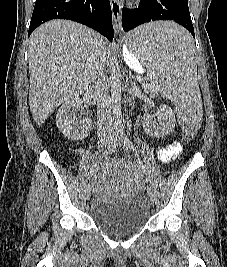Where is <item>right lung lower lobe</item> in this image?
I'll use <instances>...</instances> for the list:
<instances>
[{
    "mask_svg": "<svg viewBox=\"0 0 227 267\" xmlns=\"http://www.w3.org/2000/svg\"><path fill=\"white\" fill-rule=\"evenodd\" d=\"M58 18L82 23L113 40L109 0H36L28 36L42 23Z\"/></svg>",
    "mask_w": 227,
    "mask_h": 267,
    "instance_id": "obj_1",
    "label": "right lung lower lobe"
}]
</instances>
